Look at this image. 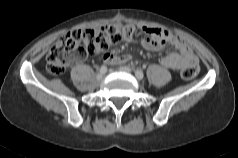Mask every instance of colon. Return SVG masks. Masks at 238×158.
Instances as JSON below:
<instances>
[{"mask_svg":"<svg viewBox=\"0 0 238 158\" xmlns=\"http://www.w3.org/2000/svg\"><path fill=\"white\" fill-rule=\"evenodd\" d=\"M133 35L129 25L115 23L97 29H76L62 37L52 46L46 59L49 74L61 75L68 65L88 55H96L106 51L112 44ZM199 71L198 65L186 66L181 71L185 80L193 79Z\"/></svg>","mask_w":238,"mask_h":158,"instance_id":"5ec220e1","label":"colon"}]
</instances>
